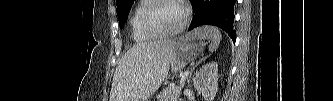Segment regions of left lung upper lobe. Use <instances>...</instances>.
<instances>
[{
    "label": "left lung upper lobe",
    "mask_w": 333,
    "mask_h": 101,
    "mask_svg": "<svg viewBox=\"0 0 333 101\" xmlns=\"http://www.w3.org/2000/svg\"><path fill=\"white\" fill-rule=\"evenodd\" d=\"M134 0H116L117 4V15L120 23V27H123L124 22L127 19L130 7Z\"/></svg>",
    "instance_id": "left-lung-upper-lobe-1"
}]
</instances>
